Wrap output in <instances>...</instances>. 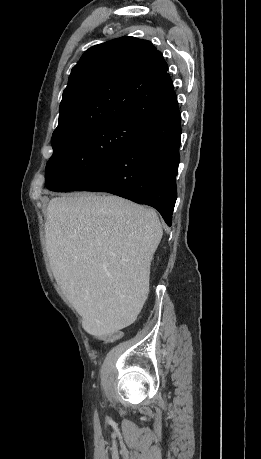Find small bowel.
<instances>
[{
    "label": "small bowel",
    "mask_w": 261,
    "mask_h": 459,
    "mask_svg": "<svg viewBox=\"0 0 261 459\" xmlns=\"http://www.w3.org/2000/svg\"><path fill=\"white\" fill-rule=\"evenodd\" d=\"M88 332L91 335L95 336L96 338L100 340H104V341H114V340L119 339L121 336V333L118 331L105 332L103 330L96 329V328H89Z\"/></svg>",
    "instance_id": "1"
}]
</instances>
